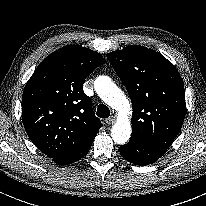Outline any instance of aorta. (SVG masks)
Listing matches in <instances>:
<instances>
[{
    "label": "aorta",
    "instance_id": "aorta-1",
    "mask_svg": "<svg viewBox=\"0 0 206 206\" xmlns=\"http://www.w3.org/2000/svg\"><path fill=\"white\" fill-rule=\"evenodd\" d=\"M95 90L106 104L118 111V118L112 127L111 135L115 143L125 144L131 135V122L128 117L131 106L128 99L108 76H99L96 79Z\"/></svg>",
    "mask_w": 206,
    "mask_h": 206
}]
</instances>
